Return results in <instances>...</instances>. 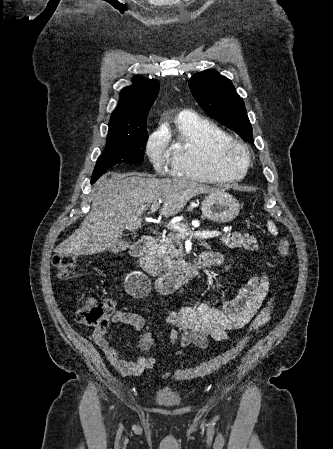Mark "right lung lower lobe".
<instances>
[{
  "label": "right lung lower lobe",
  "instance_id": "right-lung-lower-lobe-1",
  "mask_svg": "<svg viewBox=\"0 0 333 449\" xmlns=\"http://www.w3.org/2000/svg\"><path fill=\"white\" fill-rule=\"evenodd\" d=\"M96 180L95 179H91V184H93Z\"/></svg>",
  "mask_w": 333,
  "mask_h": 449
}]
</instances>
